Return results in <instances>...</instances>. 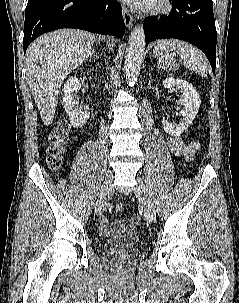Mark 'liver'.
<instances>
[{"label":"liver","instance_id":"liver-1","mask_svg":"<svg viewBox=\"0 0 239 303\" xmlns=\"http://www.w3.org/2000/svg\"><path fill=\"white\" fill-rule=\"evenodd\" d=\"M114 46V39L107 44ZM95 35L61 29L37 38L26 52L27 82L44 125H51L57 98L66 76L90 56Z\"/></svg>","mask_w":239,"mask_h":303}]
</instances>
